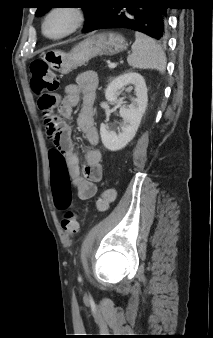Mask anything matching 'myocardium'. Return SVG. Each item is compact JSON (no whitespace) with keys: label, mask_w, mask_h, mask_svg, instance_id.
I'll return each instance as SVG.
<instances>
[{"label":"myocardium","mask_w":213,"mask_h":338,"mask_svg":"<svg viewBox=\"0 0 213 338\" xmlns=\"http://www.w3.org/2000/svg\"><path fill=\"white\" fill-rule=\"evenodd\" d=\"M66 13L70 18V25L69 27L56 35H52L48 32L47 27L50 18L56 13ZM85 13L81 9L72 8V7H60V8H53L45 15L43 22H42V33L43 35L49 40H58L69 35L75 33L85 22Z\"/></svg>","instance_id":"obj_1"}]
</instances>
